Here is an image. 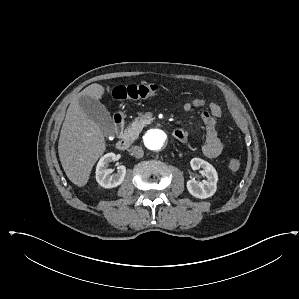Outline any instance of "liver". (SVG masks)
I'll return each instance as SVG.
<instances>
[{
  "label": "liver",
  "instance_id": "liver-1",
  "mask_svg": "<svg viewBox=\"0 0 299 299\" xmlns=\"http://www.w3.org/2000/svg\"><path fill=\"white\" fill-rule=\"evenodd\" d=\"M104 87L94 83L82 90L70 103L63 122L58 153L68 179L83 187L91 170L106 150L104 134L99 125L90 119L79 105V97L101 99Z\"/></svg>",
  "mask_w": 299,
  "mask_h": 299
}]
</instances>
